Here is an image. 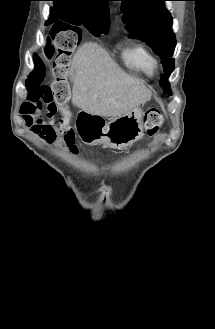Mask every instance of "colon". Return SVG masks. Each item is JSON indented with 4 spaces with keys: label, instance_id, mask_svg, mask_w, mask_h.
<instances>
[{
    "label": "colon",
    "instance_id": "5ec220e1",
    "mask_svg": "<svg viewBox=\"0 0 215 329\" xmlns=\"http://www.w3.org/2000/svg\"><path fill=\"white\" fill-rule=\"evenodd\" d=\"M82 25H66L65 19H56L50 25V31H44V38H50L47 47H41L43 55H32V67L37 73L30 74L25 86L28 97L21 108L23 116L61 114L55 123V129L69 144L74 143V130L71 125L72 115L66 104L69 86L66 81L70 58L75 49L83 44ZM51 66H47V62ZM163 123L159 109H149L143 119L144 129L148 135H155Z\"/></svg>",
    "mask_w": 215,
    "mask_h": 329
}]
</instances>
